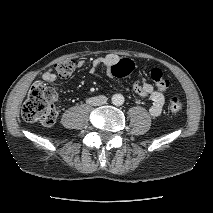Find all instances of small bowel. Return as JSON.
I'll list each match as a JSON object with an SVG mask.
<instances>
[{
	"label": "small bowel",
	"mask_w": 213,
	"mask_h": 213,
	"mask_svg": "<svg viewBox=\"0 0 213 213\" xmlns=\"http://www.w3.org/2000/svg\"><path fill=\"white\" fill-rule=\"evenodd\" d=\"M120 60L121 58L115 54H108L98 57L93 60L90 67V72L95 73L100 67H104L108 75L113 76L111 69ZM83 66V60H78L75 63V67L77 68H82ZM42 78L45 82L53 83L57 79V74L55 73L54 69H48L43 73ZM132 90L137 95L148 98L151 101V106L149 108V113L151 116L157 117L161 114L165 103V97L162 92L154 89V87L144 78L142 72L140 71L136 72L135 74V81L132 84Z\"/></svg>",
	"instance_id": "c3829d8e"
}]
</instances>
